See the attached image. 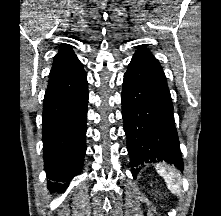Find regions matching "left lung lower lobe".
<instances>
[{
	"label": "left lung lower lobe",
	"instance_id": "left-lung-lower-lobe-1",
	"mask_svg": "<svg viewBox=\"0 0 221 216\" xmlns=\"http://www.w3.org/2000/svg\"><path fill=\"white\" fill-rule=\"evenodd\" d=\"M122 116L133 177L139 165L166 161L181 171L183 161L166 77L158 60L140 46L124 75Z\"/></svg>",
	"mask_w": 221,
	"mask_h": 216
}]
</instances>
